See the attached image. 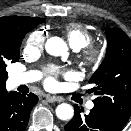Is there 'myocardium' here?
Listing matches in <instances>:
<instances>
[{
    "mask_svg": "<svg viewBox=\"0 0 131 131\" xmlns=\"http://www.w3.org/2000/svg\"><path fill=\"white\" fill-rule=\"evenodd\" d=\"M83 62L90 68L100 67L105 58L106 52L102 47L95 45H88L82 53Z\"/></svg>",
    "mask_w": 131,
    "mask_h": 131,
    "instance_id": "myocardium-1",
    "label": "myocardium"
}]
</instances>
